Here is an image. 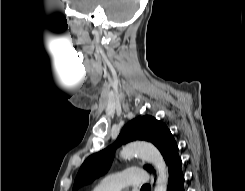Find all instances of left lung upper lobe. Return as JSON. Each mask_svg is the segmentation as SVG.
<instances>
[{"instance_id":"5c2ea615","label":"left lung upper lobe","mask_w":245,"mask_h":191,"mask_svg":"<svg viewBox=\"0 0 245 191\" xmlns=\"http://www.w3.org/2000/svg\"><path fill=\"white\" fill-rule=\"evenodd\" d=\"M134 140L152 142L161 152L165 162L178 148L173 135L164 123L149 115L139 116L123 127L114 144L85 160L76 176L73 191L105 173L113 160L115 149L121 144ZM144 168L153 171L150 165H145Z\"/></svg>"}]
</instances>
